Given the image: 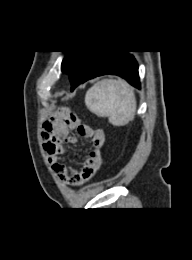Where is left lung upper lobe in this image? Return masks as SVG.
Listing matches in <instances>:
<instances>
[{
  "instance_id": "left-lung-upper-lobe-1",
  "label": "left lung upper lobe",
  "mask_w": 192,
  "mask_h": 260,
  "mask_svg": "<svg viewBox=\"0 0 192 260\" xmlns=\"http://www.w3.org/2000/svg\"><path fill=\"white\" fill-rule=\"evenodd\" d=\"M62 61V71L69 75L72 90L79 84L92 58L98 51H67Z\"/></svg>"
}]
</instances>
